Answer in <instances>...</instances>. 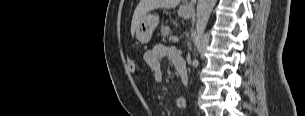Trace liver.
<instances>
[{
	"mask_svg": "<svg viewBox=\"0 0 305 116\" xmlns=\"http://www.w3.org/2000/svg\"><path fill=\"white\" fill-rule=\"evenodd\" d=\"M179 3L180 0H141L137 5L132 17L131 34L134 35L138 25L148 12L159 8H174Z\"/></svg>",
	"mask_w": 305,
	"mask_h": 116,
	"instance_id": "obj_1",
	"label": "liver"
}]
</instances>
